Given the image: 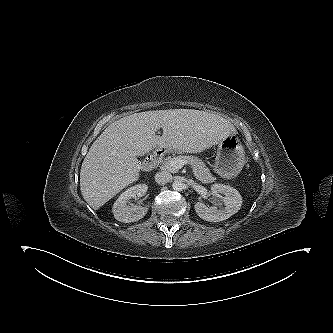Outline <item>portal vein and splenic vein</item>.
<instances>
[{
	"label": "portal vein and splenic vein",
	"instance_id": "1",
	"mask_svg": "<svg viewBox=\"0 0 333 333\" xmlns=\"http://www.w3.org/2000/svg\"><path fill=\"white\" fill-rule=\"evenodd\" d=\"M187 162L183 161V160H174L170 163V166L172 169H180L182 168L184 165H186Z\"/></svg>",
	"mask_w": 333,
	"mask_h": 333
}]
</instances>
